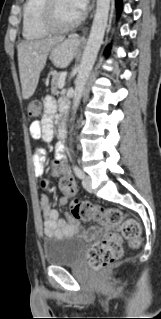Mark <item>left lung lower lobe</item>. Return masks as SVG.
Wrapping results in <instances>:
<instances>
[{"instance_id":"obj_1","label":"left lung lower lobe","mask_w":161,"mask_h":319,"mask_svg":"<svg viewBox=\"0 0 161 319\" xmlns=\"http://www.w3.org/2000/svg\"><path fill=\"white\" fill-rule=\"evenodd\" d=\"M116 7L120 11L122 9V0H116ZM109 51V48H107L106 52Z\"/></svg>"}]
</instances>
